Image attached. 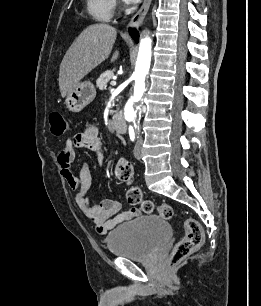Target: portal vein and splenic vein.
<instances>
[{
	"instance_id": "1",
	"label": "portal vein and splenic vein",
	"mask_w": 261,
	"mask_h": 306,
	"mask_svg": "<svg viewBox=\"0 0 261 306\" xmlns=\"http://www.w3.org/2000/svg\"><path fill=\"white\" fill-rule=\"evenodd\" d=\"M112 86H115L116 85V81H111L110 83Z\"/></svg>"
}]
</instances>
